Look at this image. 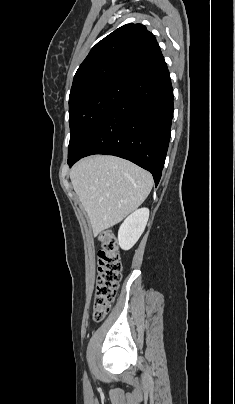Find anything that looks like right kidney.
Masks as SVG:
<instances>
[{"instance_id": "obj_1", "label": "right kidney", "mask_w": 235, "mask_h": 404, "mask_svg": "<svg viewBox=\"0 0 235 404\" xmlns=\"http://www.w3.org/2000/svg\"><path fill=\"white\" fill-rule=\"evenodd\" d=\"M149 218V209L141 208L132 213L120 226L118 243L123 250L131 249L142 235Z\"/></svg>"}]
</instances>
